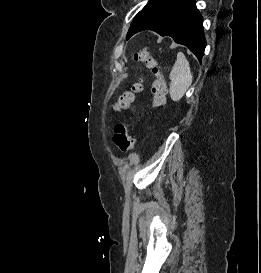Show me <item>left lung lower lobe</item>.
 I'll return each mask as SVG.
<instances>
[{
	"label": "left lung lower lobe",
	"mask_w": 261,
	"mask_h": 273,
	"mask_svg": "<svg viewBox=\"0 0 261 273\" xmlns=\"http://www.w3.org/2000/svg\"><path fill=\"white\" fill-rule=\"evenodd\" d=\"M145 29L172 37L176 43L188 47L201 62L206 40L203 18L196 8L195 0H166L156 5L131 25L126 38Z\"/></svg>",
	"instance_id": "1"
}]
</instances>
